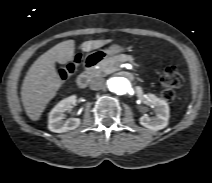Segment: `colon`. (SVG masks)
I'll list each match as a JSON object with an SVG mask.
<instances>
[{
	"instance_id": "1",
	"label": "colon",
	"mask_w": 212,
	"mask_h": 183,
	"mask_svg": "<svg viewBox=\"0 0 212 183\" xmlns=\"http://www.w3.org/2000/svg\"><path fill=\"white\" fill-rule=\"evenodd\" d=\"M79 60L75 59L71 63L62 67L59 71L62 80L68 79L74 74ZM183 77L175 67H168L162 73L160 83L163 87L162 97L165 101L170 102L175 98L174 89L179 88L183 84Z\"/></svg>"
}]
</instances>
